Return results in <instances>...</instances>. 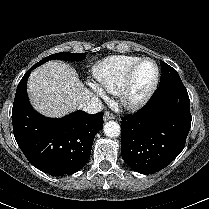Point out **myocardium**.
Returning a JSON list of instances; mask_svg holds the SVG:
<instances>
[{"mask_svg": "<svg viewBox=\"0 0 209 209\" xmlns=\"http://www.w3.org/2000/svg\"><path fill=\"white\" fill-rule=\"evenodd\" d=\"M146 61H149L154 65L155 77L150 88L142 96L134 98L131 94L133 77L137 68L140 66V64ZM159 80H160V69H159L158 64L155 62V60L149 57L140 58L130 67L125 77V80L121 86V89L119 91L121 104L125 108L130 109V110H136V109H140L144 107L154 95L158 87Z\"/></svg>", "mask_w": 209, "mask_h": 209, "instance_id": "1", "label": "myocardium"}]
</instances>
